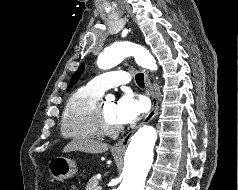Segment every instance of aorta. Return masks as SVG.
Segmentation results:
<instances>
[{"instance_id": "1", "label": "aorta", "mask_w": 238, "mask_h": 190, "mask_svg": "<svg viewBox=\"0 0 238 190\" xmlns=\"http://www.w3.org/2000/svg\"><path fill=\"white\" fill-rule=\"evenodd\" d=\"M134 56L136 62L147 69L157 70L154 57L142 46L132 42H114L98 56L97 64L110 69L126 57ZM108 99H113L109 95ZM157 132L152 126H143L132 136L124 157L123 181L117 190H144L145 179L153 161Z\"/></svg>"}]
</instances>
